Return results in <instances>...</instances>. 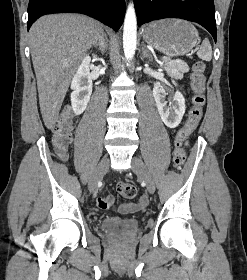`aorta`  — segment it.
I'll return each instance as SVG.
<instances>
[{
  "label": "aorta",
  "mask_w": 247,
  "mask_h": 280,
  "mask_svg": "<svg viewBox=\"0 0 247 280\" xmlns=\"http://www.w3.org/2000/svg\"><path fill=\"white\" fill-rule=\"evenodd\" d=\"M137 42V20L133 4H129L123 28V49L125 58L131 61L134 57Z\"/></svg>",
  "instance_id": "762f6f07"
}]
</instances>
